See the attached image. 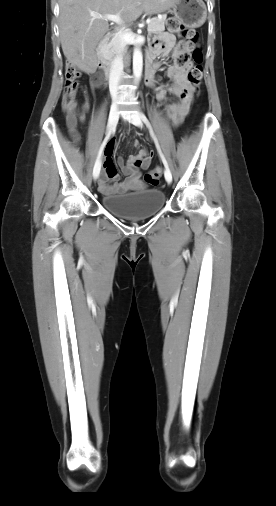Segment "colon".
<instances>
[{"label":"colon","mask_w":276,"mask_h":506,"mask_svg":"<svg viewBox=\"0 0 276 506\" xmlns=\"http://www.w3.org/2000/svg\"><path fill=\"white\" fill-rule=\"evenodd\" d=\"M167 29L172 33H177L179 36L187 40V47L192 52L193 66L187 73V79L191 85L198 89L203 75V46L198 41V35L194 31H187L183 29L180 21L171 17L167 21ZM80 71L73 65L66 66V81L62 97V108L66 116V120L70 132L75 140L78 139V134L75 130L79 110L77 107V92L79 86ZM161 177V170L159 168L153 169L144 175V180L152 185L159 183Z\"/></svg>","instance_id":"5ec220e1"}]
</instances>
